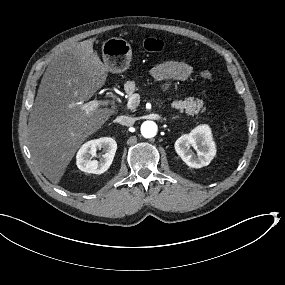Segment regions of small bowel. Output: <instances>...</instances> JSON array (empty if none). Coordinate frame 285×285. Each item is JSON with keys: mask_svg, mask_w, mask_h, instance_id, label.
<instances>
[{"mask_svg": "<svg viewBox=\"0 0 285 285\" xmlns=\"http://www.w3.org/2000/svg\"><path fill=\"white\" fill-rule=\"evenodd\" d=\"M192 74V68L183 61L168 58L158 63L151 71V75L158 81H185Z\"/></svg>", "mask_w": 285, "mask_h": 285, "instance_id": "obj_1", "label": "small bowel"}]
</instances>
